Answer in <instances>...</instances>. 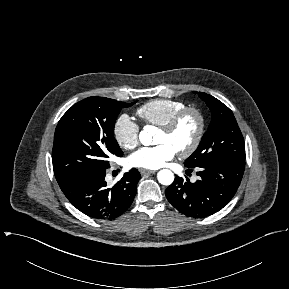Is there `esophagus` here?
<instances>
[{"label": "esophagus", "mask_w": 289, "mask_h": 289, "mask_svg": "<svg viewBox=\"0 0 289 289\" xmlns=\"http://www.w3.org/2000/svg\"><path fill=\"white\" fill-rule=\"evenodd\" d=\"M139 171L142 175L154 174L156 172L154 170H148V169H140Z\"/></svg>", "instance_id": "34e87169"}]
</instances>
